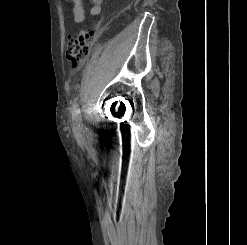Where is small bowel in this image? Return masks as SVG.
I'll list each match as a JSON object with an SVG mask.
<instances>
[{"label": "small bowel", "instance_id": "small-bowel-1", "mask_svg": "<svg viewBox=\"0 0 247 245\" xmlns=\"http://www.w3.org/2000/svg\"><path fill=\"white\" fill-rule=\"evenodd\" d=\"M72 4V15L74 22L77 24L83 23L86 19V12L84 10L82 0H69ZM90 8L89 15L97 16L101 13L102 0H89Z\"/></svg>", "mask_w": 247, "mask_h": 245}]
</instances>
